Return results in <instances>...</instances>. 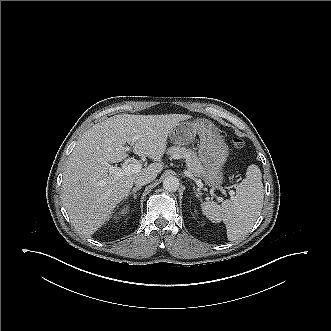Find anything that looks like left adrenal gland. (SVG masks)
Returning <instances> with one entry per match:
<instances>
[{"label":"left adrenal gland","mask_w":331,"mask_h":331,"mask_svg":"<svg viewBox=\"0 0 331 331\" xmlns=\"http://www.w3.org/2000/svg\"><path fill=\"white\" fill-rule=\"evenodd\" d=\"M193 189H194V192H195V193L197 194V196H198V194H199V193H197L198 191H197V192L195 191V187H193Z\"/></svg>","instance_id":"a2214340"}]
</instances>
